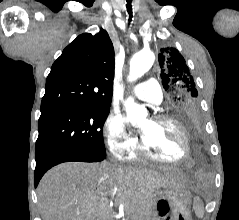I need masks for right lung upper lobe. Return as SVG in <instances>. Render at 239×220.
<instances>
[{"instance_id": "obj_1", "label": "right lung upper lobe", "mask_w": 239, "mask_h": 220, "mask_svg": "<svg viewBox=\"0 0 239 220\" xmlns=\"http://www.w3.org/2000/svg\"><path fill=\"white\" fill-rule=\"evenodd\" d=\"M114 79V48L108 33L79 35L54 62L41 112L110 107Z\"/></svg>"}]
</instances>
